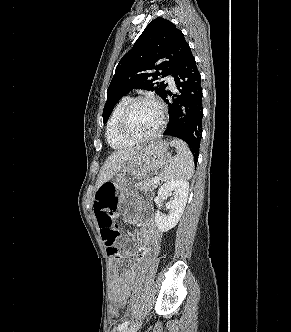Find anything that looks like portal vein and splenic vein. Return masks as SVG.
I'll return each instance as SVG.
<instances>
[{
  "instance_id": "obj_1",
  "label": "portal vein and splenic vein",
  "mask_w": 291,
  "mask_h": 332,
  "mask_svg": "<svg viewBox=\"0 0 291 332\" xmlns=\"http://www.w3.org/2000/svg\"><path fill=\"white\" fill-rule=\"evenodd\" d=\"M159 181H160V178H159V177H155V178L153 179V183H154V184L159 183Z\"/></svg>"
}]
</instances>
